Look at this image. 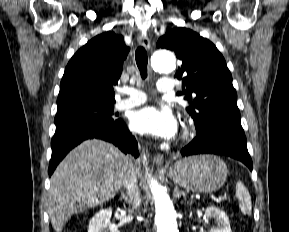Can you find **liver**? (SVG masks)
<instances>
[{
  "mask_svg": "<svg viewBox=\"0 0 289 232\" xmlns=\"http://www.w3.org/2000/svg\"><path fill=\"white\" fill-rule=\"evenodd\" d=\"M130 165L128 156L103 140H86L70 151L50 180L48 214L53 229L62 232L72 215L114 198Z\"/></svg>",
  "mask_w": 289,
  "mask_h": 232,
  "instance_id": "6515ba94",
  "label": "liver"
}]
</instances>
